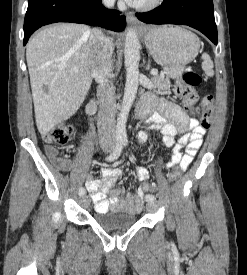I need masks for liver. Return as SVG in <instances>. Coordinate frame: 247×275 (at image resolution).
<instances>
[{
  "label": "liver",
  "instance_id": "1",
  "mask_svg": "<svg viewBox=\"0 0 247 275\" xmlns=\"http://www.w3.org/2000/svg\"><path fill=\"white\" fill-rule=\"evenodd\" d=\"M89 27L58 23L39 31L27 44L35 119L41 135L69 119L91 86Z\"/></svg>",
  "mask_w": 247,
  "mask_h": 275
}]
</instances>
